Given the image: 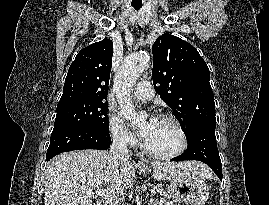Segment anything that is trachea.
Returning <instances> with one entry per match:
<instances>
[{
	"label": "trachea",
	"instance_id": "obj_1",
	"mask_svg": "<svg viewBox=\"0 0 269 205\" xmlns=\"http://www.w3.org/2000/svg\"><path fill=\"white\" fill-rule=\"evenodd\" d=\"M141 7H142V5H133V8L135 9V10H140L141 9Z\"/></svg>",
	"mask_w": 269,
	"mask_h": 205
}]
</instances>
